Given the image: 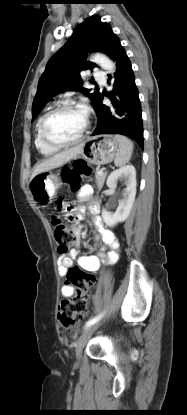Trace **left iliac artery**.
Instances as JSON below:
<instances>
[{
	"label": "left iliac artery",
	"instance_id": "obj_1",
	"mask_svg": "<svg viewBox=\"0 0 187 415\" xmlns=\"http://www.w3.org/2000/svg\"><path fill=\"white\" fill-rule=\"evenodd\" d=\"M102 316H103V313H101V314L97 315L96 317L88 320L85 324V328H87V327L91 326L92 324L98 322L102 318Z\"/></svg>",
	"mask_w": 187,
	"mask_h": 415
}]
</instances>
